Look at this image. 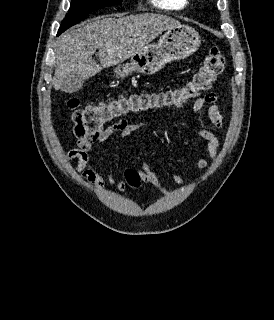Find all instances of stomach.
I'll use <instances>...</instances> for the list:
<instances>
[{"mask_svg":"<svg viewBox=\"0 0 274 320\" xmlns=\"http://www.w3.org/2000/svg\"><path fill=\"white\" fill-rule=\"evenodd\" d=\"M200 44V36L194 28L179 24L175 28H169L157 44H151L150 48H144L139 54L132 56L129 68L139 74L152 76L169 62L189 58L199 50ZM120 74L121 72H116L117 78Z\"/></svg>","mask_w":274,"mask_h":320,"instance_id":"stomach-1","label":"stomach"}]
</instances>
